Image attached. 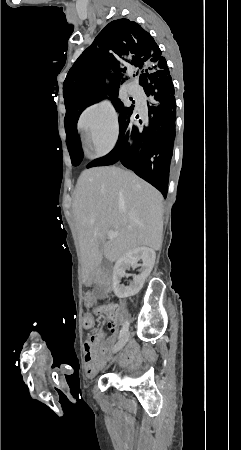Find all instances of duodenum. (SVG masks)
Instances as JSON below:
<instances>
[{
  "label": "duodenum",
  "mask_w": 241,
  "mask_h": 450,
  "mask_svg": "<svg viewBox=\"0 0 241 450\" xmlns=\"http://www.w3.org/2000/svg\"><path fill=\"white\" fill-rule=\"evenodd\" d=\"M106 275L104 273H96L91 277V281L105 280Z\"/></svg>",
  "instance_id": "410a0bca"
}]
</instances>
